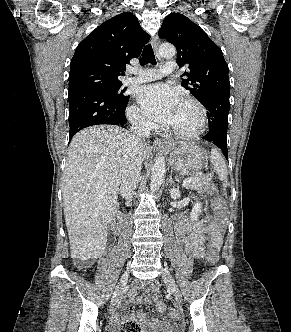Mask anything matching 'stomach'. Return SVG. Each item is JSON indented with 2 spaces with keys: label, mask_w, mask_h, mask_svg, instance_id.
Masks as SVG:
<instances>
[{
  "label": "stomach",
  "mask_w": 291,
  "mask_h": 332,
  "mask_svg": "<svg viewBox=\"0 0 291 332\" xmlns=\"http://www.w3.org/2000/svg\"><path fill=\"white\" fill-rule=\"evenodd\" d=\"M167 151L169 163L176 170H200L207 161L205 152L193 142L173 143L168 147Z\"/></svg>",
  "instance_id": "1"
}]
</instances>
